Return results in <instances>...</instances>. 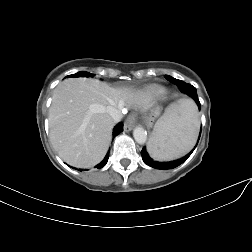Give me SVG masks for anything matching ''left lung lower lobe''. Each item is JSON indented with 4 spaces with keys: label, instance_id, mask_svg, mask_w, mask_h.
<instances>
[{
    "label": "left lung lower lobe",
    "instance_id": "obj_1",
    "mask_svg": "<svg viewBox=\"0 0 252 252\" xmlns=\"http://www.w3.org/2000/svg\"><path fill=\"white\" fill-rule=\"evenodd\" d=\"M175 84L178 85L180 91H182L183 93L188 94L190 97H192L196 101V103L198 104V106L200 108V102L198 100L197 91H196V88L194 86H192L191 84H187V83H185V82H183L181 80H177L175 82ZM200 135H201V132H200ZM200 135H199V138H200ZM194 149L189 154H187L185 157H183L181 159H178V160L171 161V162H157V161H154L150 157V155L147 153L145 147L142 149L141 155H142L143 161L147 165H149V166H151L153 168H156V169L167 170V169L175 168V167L179 166L180 164H182L183 162H185L188 159V157L192 154Z\"/></svg>",
    "mask_w": 252,
    "mask_h": 252
}]
</instances>
